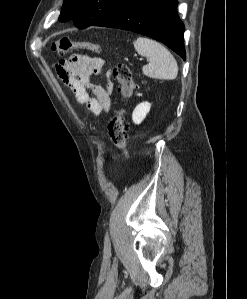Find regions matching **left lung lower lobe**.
Returning a JSON list of instances; mask_svg holds the SVG:
<instances>
[{
  "mask_svg": "<svg viewBox=\"0 0 247 299\" xmlns=\"http://www.w3.org/2000/svg\"><path fill=\"white\" fill-rule=\"evenodd\" d=\"M177 4V0H122L92 25L152 37L185 60L184 25L177 14Z\"/></svg>",
  "mask_w": 247,
  "mask_h": 299,
  "instance_id": "0a47b994",
  "label": "left lung lower lobe"
}]
</instances>
